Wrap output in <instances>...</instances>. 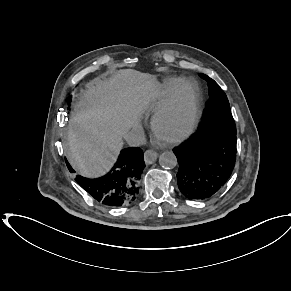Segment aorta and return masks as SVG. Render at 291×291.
<instances>
[{
	"mask_svg": "<svg viewBox=\"0 0 291 291\" xmlns=\"http://www.w3.org/2000/svg\"><path fill=\"white\" fill-rule=\"evenodd\" d=\"M159 164L164 169H173L177 165V158L173 152L166 151L160 155Z\"/></svg>",
	"mask_w": 291,
	"mask_h": 291,
	"instance_id": "762f6f07",
	"label": "aorta"
}]
</instances>
